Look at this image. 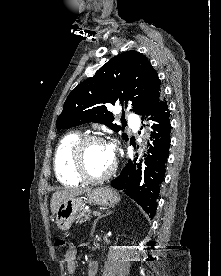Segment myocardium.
I'll list each match as a JSON object with an SVG mask.
<instances>
[{
	"mask_svg": "<svg viewBox=\"0 0 221 276\" xmlns=\"http://www.w3.org/2000/svg\"><path fill=\"white\" fill-rule=\"evenodd\" d=\"M91 142H102L106 144V141L103 137L89 134L81 136L74 144L72 151H71V163L74 172L77 174L79 178H81L84 181L90 182V183H99L107 180L110 178L116 168H117V160L114 157L113 163L110 166V168L103 174L99 176H93L91 175L85 166V160H84V151L86 146Z\"/></svg>",
	"mask_w": 221,
	"mask_h": 276,
	"instance_id": "f54148a6",
	"label": "myocardium"
}]
</instances>
